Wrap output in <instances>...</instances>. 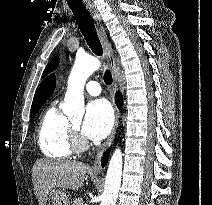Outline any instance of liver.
Instances as JSON below:
<instances>
[{"instance_id": "obj_1", "label": "liver", "mask_w": 212, "mask_h": 205, "mask_svg": "<svg viewBox=\"0 0 212 205\" xmlns=\"http://www.w3.org/2000/svg\"><path fill=\"white\" fill-rule=\"evenodd\" d=\"M88 169L87 165L76 161H37L33 166L32 176L39 205H46L48 194L53 188H81Z\"/></svg>"}]
</instances>
